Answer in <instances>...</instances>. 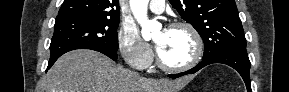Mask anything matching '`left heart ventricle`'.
Listing matches in <instances>:
<instances>
[{"label":"left heart ventricle","mask_w":289,"mask_h":92,"mask_svg":"<svg viewBox=\"0 0 289 92\" xmlns=\"http://www.w3.org/2000/svg\"><path fill=\"white\" fill-rule=\"evenodd\" d=\"M161 35L162 31L156 34V41L161 38ZM194 53L195 44L188 31L184 29H169L159 55L167 64L177 66L188 63Z\"/></svg>","instance_id":"1"}]
</instances>
